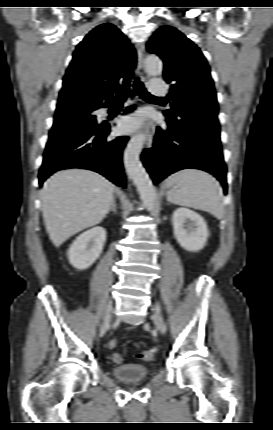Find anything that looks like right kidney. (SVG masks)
<instances>
[{"mask_svg":"<svg viewBox=\"0 0 273 430\" xmlns=\"http://www.w3.org/2000/svg\"><path fill=\"white\" fill-rule=\"evenodd\" d=\"M106 240V230L94 227L76 238L68 250L70 264L78 269L89 268L100 256Z\"/></svg>","mask_w":273,"mask_h":430,"instance_id":"1","label":"right kidney"}]
</instances>
